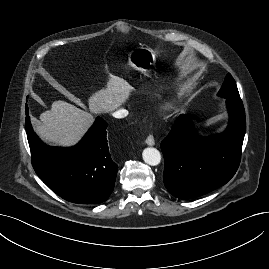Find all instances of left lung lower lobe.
<instances>
[{
	"instance_id": "0a47b994",
	"label": "left lung lower lobe",
	"mask_w": 269,
	"mask_h": 269,
	"mask_svg": "<svg viewBox=\"0 0 269 269\" xmlns=\"http://www.w3.org/2000/svg\"><path fill=\"white\" fill-rule=\"evenodd\" d=\"M230 120L222 134L198 136L188 116L180 115L161 142L163 181L179 199L207 194L226 184L238 169L245 135L241 99L226 100Z\"/></svg>"
}]
</instances>
